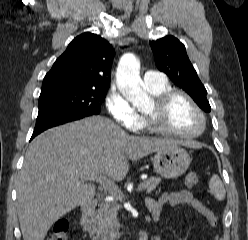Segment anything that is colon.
<instances>
[{
    "label": "colon",
    "mask_w": 248,
    "mask_h": 240,
    "mask_svg": "<svg viewBox=\"0 0 248 240\" xmlns=\"http://www.w3.org/2000/svg\"><path fill=\"white\" fill-rule=\"evenodd\" d=\"M198 178L194 172L187 174L185 184L192 188L197 184ZM68 223L65 220H59L54 224L53 230L47 240H67Z\"/></svg>",
    "instance_id": "colon-1"
}]
</instances>
